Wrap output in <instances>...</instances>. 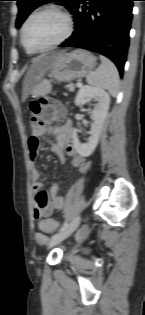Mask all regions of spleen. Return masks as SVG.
<instances>
[{"label":"spleen","instance_id":"obj_1","mask_svg":"<svg viewBox=\"0 0 145 315\" xmlns=\"http://www.w3.org/2000/svg\"><path fill=\"white\" fill-rule=\"evenodd\" d=\"M101 65L87 76V83L95 88L107 90L116 97L120 88L119 73L112 61L100 56Z\"/></svg>","mask_w":145,"mask_h":315}]
</instances>
